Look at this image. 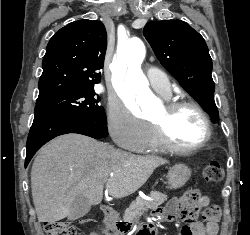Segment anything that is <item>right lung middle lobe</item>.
<instances>
[{
	"label": "right lung middle lobe",
	"mask_w": 250,
	"mask_h": 235,
	"mask_svg": "<svg viewBox=\"0 0 250 235\" xmlns=\"http://www.w3.org/2000/svg\"><path fill=\"white\" fill-rule=\"evenodd\" d=\"M99 101L100 98L92 85L38 97L34 114L44 112L70 114L107 124L104 109L98 105Z\"/></svg>",
	"instance_id": "right-lung-middle-lobe-1"
}]
</instances>
